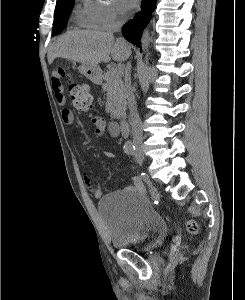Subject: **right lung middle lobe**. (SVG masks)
Segmentation results:
<instances>
[{
  "instance_id": "dd1d6c3e",
  "label": "right lung middle lobe",
  "mask_w": 245,
  "mask_h": 300,
  "mask_svg": "<svg viewBox=\"0 0 245 300\" xmlns=\"http://www.w3.org/2000/svg\"><path fill=\"white\" fill-rule=\"evenodd\" d=\"M74 5V0H58L53 21V35H57L66 27V21Z\"/></svg>"
}]
</instances>
